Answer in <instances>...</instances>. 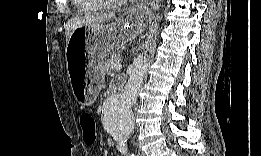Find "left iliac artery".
Returning <instances> with one entry per match:
<instances>
[{"instance_id": "1", "label": "left iliac artery", "mask_w": 261, "mask_h": 156, "mask_svg": "<svg viewBox=\"0 0 261 156\" xmlns=\"http://www.w3.org/2000/svg\"><path fill=\"white\" fill-rule=\"evenodd\" d=\"M119 150L122 152L124 155H130V156H135L134 154H129L127 150V145H126V140H120L119 141Z\"/></svg>"}]
</instances>
